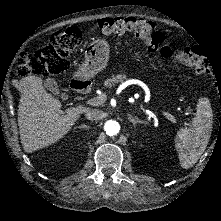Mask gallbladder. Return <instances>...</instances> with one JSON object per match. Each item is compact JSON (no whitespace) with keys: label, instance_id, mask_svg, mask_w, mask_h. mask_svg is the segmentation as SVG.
Here are the masks:
<instances>
[{"label":"gallbladder","instance_id":"gallbladder-1","mask_svg":"<svg viewBox=\"0 0 221 221\" xmlns=\"http://www.w3.org/2000/svg\"><path fill=\"white\" fill-rule=\"evenodd\" d=\"M43 87L46 90H49L53 93H57L58 92V87H57V83L55 81V79L51 78V77H47L43 80Z\"/></svg>","mask_w":221,"mask_h":221}]
</instances>
